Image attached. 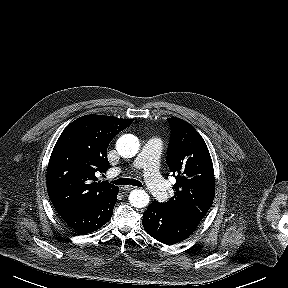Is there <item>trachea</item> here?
Instances as JSON below:
<instances>
[{
    "label": "trachea",
    "mask_w": 288,
    "mask_h": 288,
    "mask_svg": "<svg viewBox=\"0 0 288 288\" xmlns=\"http://www.w3.org/2000/svg\"><path fill=\"white\" fill-rule=\"evenodd\" d=\"M115 185H133L137 187H142V183L136 179H129V178H119L112 181Z\"/></svg>",
    "instance_id": "3493384b"
}]
</instances>
